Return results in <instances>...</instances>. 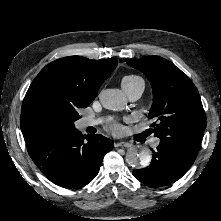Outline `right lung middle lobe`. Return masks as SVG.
I'll use <instances>...</instances> for the list:
<instances>
[{
    "label": "right lung middle lobe",
    "mask_w": 221,
    "mask_h": 221,
    "mask_svg": "<svg viewBox=\"0 0 221 221\" xmlns=\"http://www.w3.org/2000/svg\"><path fill=\"white\" fill-rule=\"evenodd\" d=\"M64 132L75 130L74 122L80 118L78 110L87 107L82 104L56 103L49 106Z\"/></svg>",
    "instance_id": "dd1d6c3e"
}]
</instances>
